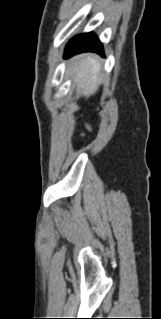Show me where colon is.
Returning <instances> with one entry per match:
<instances>
[{
	"mask_svg": "<svg viewBox=\"0 0 161 319\" xmlns=\"http://www.w3.org/2000/svg\"><path fill=\"white\" fill-rule=\"evenodd\" d=\"M85 126L88 130H91V126L89 124L86 123Z\"/></svg>",
	"mask_w": 161,
	"mask_h": 319,
	"instance_id": "5ec220e1",
	"label": "colon"
}]
</instances>
